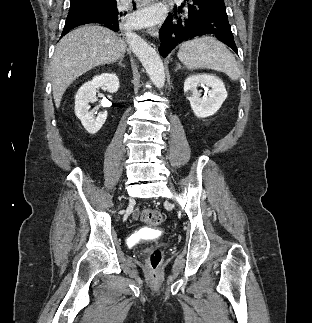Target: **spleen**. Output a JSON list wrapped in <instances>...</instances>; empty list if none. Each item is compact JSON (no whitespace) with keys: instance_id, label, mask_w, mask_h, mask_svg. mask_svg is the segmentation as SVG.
<instances>
[{"instance_id":"obj_1","label":"spleen","mask_w":312,"mask_h":323,"mask_svg":"<svg viewBox=\"0 0 312 323\" xmlns=\"http://www.w3.org/2000/svg\"><path fill=\"white\" fill-rule=\"evenodd\" d=\"M177 56L188 70L208 68V70L224 72L231 80L240 78V70L233 54L216 38L203 36V38L183 42Z\"/></svg>"}]
</instances>
